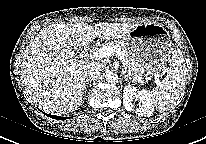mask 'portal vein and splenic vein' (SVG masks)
Listing matches in <instances>:
<instances>
[{
    "mask_svg": "<svg viewBox=\"0 0 206 144\" xmlns=\"http://www.w3.org/2000/svg\"><path fill=\"white\" fill-rule=\"evenodd\" d=\"M116 53V55L119 57V59L123 62L124 61V58H123V53H122V50L118 47H111L109 45H104L102 46L101 48L97 49V50H94L92 52L89 53V57L90 58H93V59H103V58H107V57H110L112 56L113 53ZM155 78V83L157 85H160L161 82L159 80V77L158 75H155L154 76ZM137 81H140L141 78L140 77H137L135 78Z\"/></svg>",
    "mask_w": 206,
    "mask_h": 144,
    "instance_id": "portal-vein-and-splenic-vein-1",
    "label": "portal vein and splenic vein"
}]
</instances>
